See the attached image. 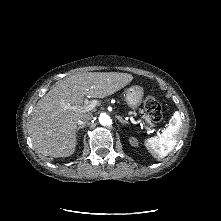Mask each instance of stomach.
Instances as JSON below:
<instances>
[{
	"label": "stomach",
	"instance_id": "1",
	"mask_svg": "<svg viewBox=\"0 0 221 221\" xmlns=\"http://www.w3.org/2000/svg\"><path fill=\"white\" fill-rule=\"evenodd\" d=\"M144 91L141 86L134 85L127 89L126 91V103L131 109H137L143 99Z\"/></svg>",
	"mask_w": 221,
	"mask_h": 221
}]
</instances>
